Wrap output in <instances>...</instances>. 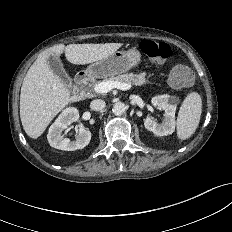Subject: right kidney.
<instances>
[{"instance_id":"right-kidney-1","label":"right kidney","mask_w":232,"mask_h":232,"mask_svg":"<svg viewBox=\"0 0 232 232\" xmlns=\"http://www.w3.org/2000/svg\"><path fill=\"white\" fill-rule=\"evenodd\" d=\"M78 120L79 112L76 108L69 107L63 110L49 128L47 138L50 146L64 151H74L86 147L91 140V132L83 124H79L78 135L75 141H70L62 135L64 129Z\"/></svg>"}]
</instances>
